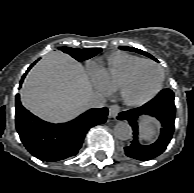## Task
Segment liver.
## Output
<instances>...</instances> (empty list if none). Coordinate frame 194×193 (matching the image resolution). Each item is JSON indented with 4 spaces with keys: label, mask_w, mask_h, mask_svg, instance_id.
I'll return each instance as SVG.
<instances>
[{
    "label": "liver",
    "mask_w": 194,
    "mask_h": 193,
    "mask_svg": "<svg viewBox=\"0 0 194 193\" xmlns=\"http://www.w3.org/2000/svg\"><path fill=\"white\" fill-rule=\"evenodd\" d=\"M92 93L83 66L62 52L43 57L30 70L20 91L26 109L54 123L67 122L86 111V100Z\"/></svg>",
    "instance_id": "obj_1"
}]
</instances>
